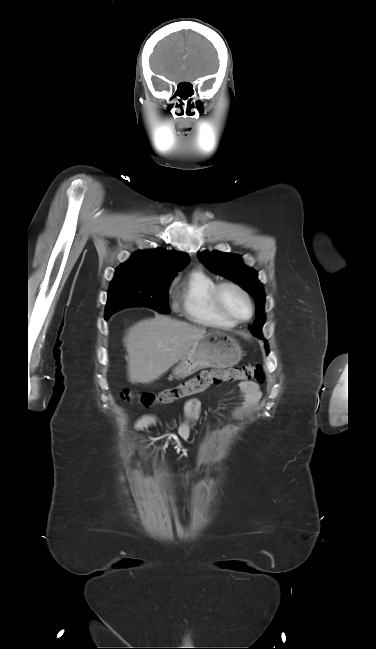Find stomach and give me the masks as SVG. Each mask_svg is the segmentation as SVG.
<instances>
[{"mask_svg": "<svg viewBox=\"0 0 376 649\" xmlns=\"http://www.w3.org/2000/svg\"><path fill=\"white\" fill-rule=\"evenodd\" d=\"M238 341L224 332H208L196 340L174 368L177 379H184L204 368L223 369L242 359Z\"/></svg>", "mask_w": 376, "mask_h": 649, "instance_id": "1", "label": "stomach"}]
</instances>
